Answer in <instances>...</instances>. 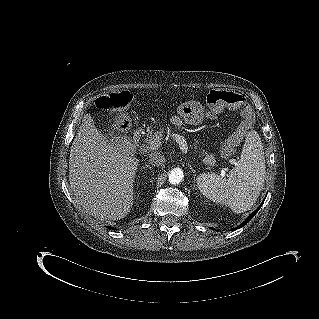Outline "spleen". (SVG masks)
I'll list each match as a JSON object with an SVG mask.
<instances>
[{
	"mask_svg": "<svg viewBox=\"0 0 319 319\" xmlns=\"http://www.w3.org/2000/svg\"><path fill=\"white\" fill-rule=\"evenodd\" d=\"M265 169L260 136L256 131H250L246 135L240 159L228 177L202 173L197 178L198 188L208 199L242 213L257 201L264 186Z\"/></svg>",
	"mask_w": 319,
	"mask_h": 319,
	"instance_id": "spleen-1",
	"label": "spleen"
}]
</instances>
